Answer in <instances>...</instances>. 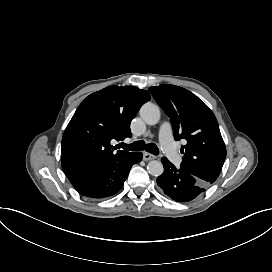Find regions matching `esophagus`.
Segmentation results:
<instances>
[{
	"mask_svg": "<svg viewBox=\"0 0 272 272\" xmlns=\"http://www.w3.org/2000/svg\"><path fill=\"white\" fill-rule=\"evenodd\" d=\"M154 159H156L155 155L150 154L148 152L143 153V160L148 161V160H154Z\"/></svg>",
	"mask_w": 272,
	"mask_h": 272,
	"instance_id": "esophagus-1",
	"label": "esophagus"
}]
</instances>
